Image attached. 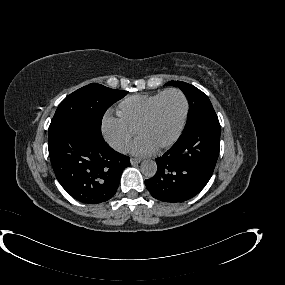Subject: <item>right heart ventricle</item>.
Listing matches in <instances>:
<instances>
[{"instance_id": "1", "label": "right heart ventricle", "mask_w": 285, "mask_h": 285, "mask_svg": "<svg viewBox=\"0 0 285 285\" xmlns=\"http://www.w3.org/2000/svg\"><path fill=\"white\" fill-rule=\"evenodd\" d=\"M163 92L137 94L122 100L117 109L119 119L129 130L136 131Z\"/></svg>"}]
</instances>
